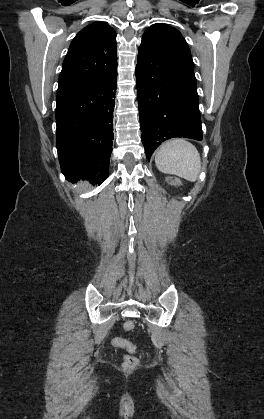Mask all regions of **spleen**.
<instances>
[{"mask_svg": "<svg viewBox=\"0 0 264 419\" xmlns=\"http://www.w3.org/2000/svg\"><path fill=\"white\" fill-rule=\"evenodd\" d=\"M155 164L161 172L177 175L191 182L197 180L201 170L198 150L181 138L171 139L162 144L156 153Z\"/></svg>", "mask_w": 264, "mask_h": 419, "instance_id": "1", "label": "spleen"}]
</instances>
